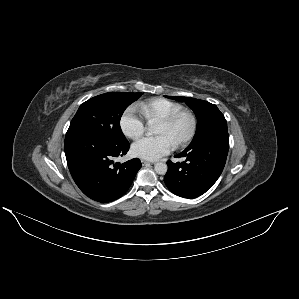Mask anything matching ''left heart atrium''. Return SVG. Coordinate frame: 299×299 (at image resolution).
<instances>
[{
    "instance_id": "obj_1",
    "label": "left heart atrium",
    "mask_w": 299,
    "mask_h": 299,
    "mask_svg": "<svg viewBox=\"0 0 299 299\" xmlns=\"http://www.w3.org/2000/svg\"><path fill=\"white\" fill-rule=\"evenodd\" d=\"M175 144L166 135L147 136L137 140L132 146L135 156L146 160H157L170 153Z\"/></svg>"
}]
</instances>
